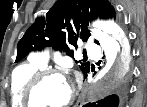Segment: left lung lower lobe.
I'll use <instances>...</instances> for the list:
<instances>
[{"mask_svg":"<svg viewBox=\"0 0 147 107\" xmlns=\"http://www.w3.org/2000/svg\"><path fill=\"white\" fill-rule=\"evenodd\" d=\"M89 72L90 69L85 74L84 78H86ZM126 96H127V86L122 82L119 86H117L116 94L109 95L103 100H99L94 103H88L83 107H122Z\"/></svg>","mask_w":147,"mask_h":107,"instance_id":"0a47b994","label":"left lung lower lobe"}]
</instances>
